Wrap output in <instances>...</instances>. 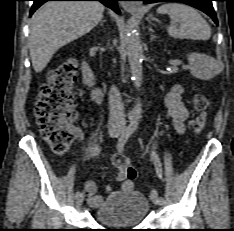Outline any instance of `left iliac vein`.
Here are the masks:
<instances>
[{
  "mask_svg": "<svg viewBox=\"0 0 234 231\" xmlns=\"http://www.w3.org/2000/svg\"><path fill=\"white\" fill-rule=\"evenodd\" d=\"M151 199H152L154 204H156V205L159 204L158 193H157V191L155 189L152 191Z\"/></svg>",
  "mask_w": 234,
  "mask_h": 231,
  "instance_id": "obj_1",
  "label": "left iliac vein"
}]
</instances>
